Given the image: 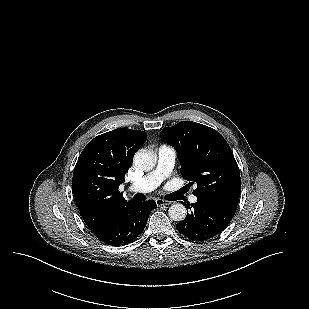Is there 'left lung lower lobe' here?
I'll return each mask as SVG.
<instances>
[{
    "mask_svg": "<svg viewBox=\"0 0 309 309\" xmlns=\"http://www.w3.org/2000/svg\"><path fill=\"white\" fill-rule=\"evenodd\" d=\"M191 210L186 218L176 224L177 230L190 240L204 241L213 238L230 223L237 204L215 198L197 197V202L188 203Z\"/></svg>",
    "mask_w": 309,
    "mask_h": 309,
    "instance_id": "left-lung-lower-lobe-1",
    "label": "left lung lower lobe"
}]
</instances>
